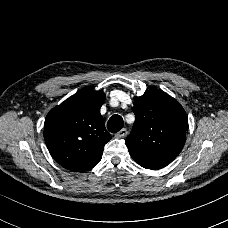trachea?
<instances>
[{
  "mask_svg": "<svg viewBox=\"0 0 228 228\" xmlns=\"http://www.w3.org/2000/svg\"><path fill=\"white\" fill-rule=\"evenodd\" d=\"M124 126L123 118L120 115H113L107 122V129L111 133L120 131Z\"/></svg>",
  "mask_w": 228,
  "mask_h": 228,
  "instance_id": "1",
  "label": "trachea"
}]
</instances>
